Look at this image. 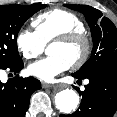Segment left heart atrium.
Here are the masks:
<instances>
[{
  "instance_id": "obj_1",
  "label": "left heart atrium",
  "mask_w": 117,
  "mask_h": 117,
  "mask_svg": "<svg viewBox=\"0 0 117 117\" xmlns=\"http://www.w3.org/2000/svg\"><path fill=\"white\" fill-rule=\"evenodd\" d=\"M71 64L62 56L50 55L28 67L30 75L45 81L52 82L54 79L68 70Z\"/></svg>"
}]
</instances>
